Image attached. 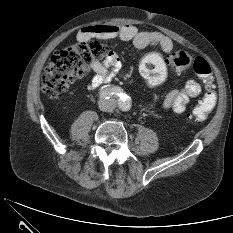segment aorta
<instances>
[{
    "label": "aorta",
    "instance_id": "762f6f07",
    "mask_svg": "<svg viewBox=\"0 0 233 233\" xmlns=\"http://www.w3.org/2000/svg\"><path fill=\"white\" fill-rule=\"evenodd\" d=\"M131 107V102H130V99L128 97H125L122 101V105H121V108L122 110H129Z\"/></svg>",
    "mask_w": 233,
    "mask_h": 233
}]
</instances>
